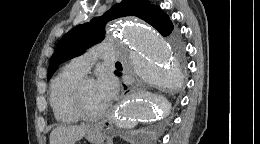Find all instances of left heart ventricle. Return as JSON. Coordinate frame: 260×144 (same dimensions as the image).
<instances>
[{"label": "left heart ventricle", "instance_id": "obj_1", "mask_svg": "<svg viewBox=\"0 0 260 144\" xmlns=\"http://www.w3.org/2000/svg\"><path fill=\"white\" fill-rule=\"evenodd\" d=\"M81 103L89 114L98 113L106 107L107 104L101 96L97 82L89 83L84 87Z\"/></svg>", "mask_w": 260, "mask_h": 144}]
</instances>
